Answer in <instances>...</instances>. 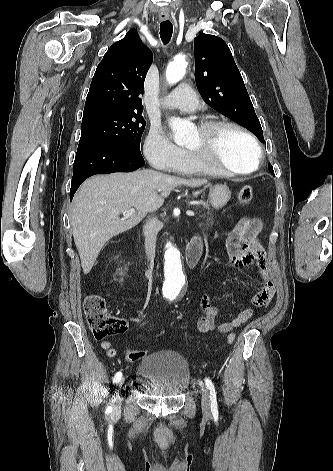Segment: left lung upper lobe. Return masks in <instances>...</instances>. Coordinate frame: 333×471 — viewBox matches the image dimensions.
<instances>
[{
    "instance_id": "1",
    "label": "left lung upper lobe",
    "mask_w": 333,
    "mask_h": 471,
    "mask_svg": "<svg viewBox=\"0 0 333 471\" xmlns=\"http://www.w3.org/2000/svg\"><path fill=\"white\" fill-rule=\"evenodd\" d=\"M195 80L203 100L238 122L264 143L263 131L228 45L219 37L194 39ZM274 175L273 167L268 164Z\"/></svg>"
}]
</instances>
